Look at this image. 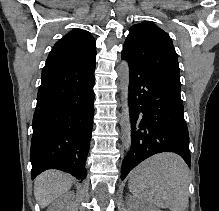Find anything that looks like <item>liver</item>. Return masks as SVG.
<instances>
[{"label": "liver", "instance_id": "6515ba94", "mask_svg": "<svg viewBox=\"0 0 219 211\" xmlns=\"http://www.w3.org/2000/svg\"><path fill=\"white\" fill-rule=\"evenodd\" d=\"M73 177L59 169H46L34 181V195L40 207H46L56 197L71 189Z\"/></svg>", "mask_w": 219, "mask_h": 211}]
</instances>
